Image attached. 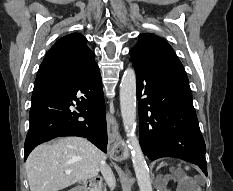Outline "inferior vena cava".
Instances as JSON below:
<instances>
[{"label":"inferior vena cava","instance_id":"inferior-vena-cava-1","mask_svg":"<svg viewBox=\"0 0 233 191\" xmlns=\"http://www.w3.org/2000/svg\"><path fill=\"white\" fill-rule=\"evenodd\" d=\"M100 171L110 187L111 190H113L116 186V179L115 176L111 170V168L106 164L105 160L101 162L100 164Z\"/></svg>","mask_w":233,"mask_h":191}]
</instances>
